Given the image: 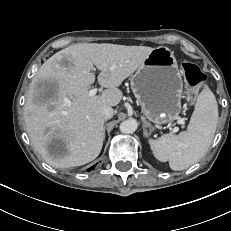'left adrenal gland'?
Instances as JSON below:
<instances>
[{
  "mask_svg": "<svg viewBox=\"0 0 231 231\" xmlns=\"http://www.w3.org/2000/svg\"><path fill=\"white\" fill-rule=\"evenodd\" d=\"M142 119H143V127H144V136H147V130L145 128L150 127V124L147 123L145 118H142Z\"/></svg>",
  "mask_w": 231,
  "mask_h": 231,
  "instance_id": "a2214340",
  "label": "left adrenal gland"
}]
</instances>
